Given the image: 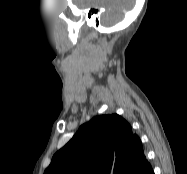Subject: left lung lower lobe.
Instances as JSON below:
<instances>
[{
    "label": "left lung lower lobe",
    "instance_id": "left-lung-lower-lobe-1",
    "mask_svg": "<svg viewBox=\"0 0 187 174\" xmlns=\"http://www.w3.org/2000/svg\"><path fill=\"white\" fill-rule=\"evenodd\" d=\"M131 174H154L151 165L148 163L144 168L138 166L132 171Z\"/></svg>",
    "mask_w": 187,
    "mask_h": 174
}]
</instances>
